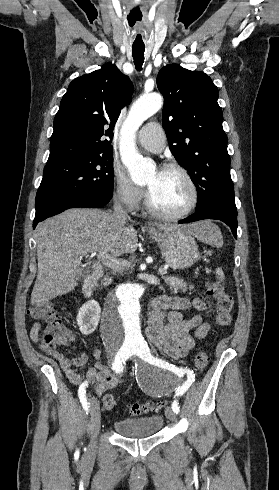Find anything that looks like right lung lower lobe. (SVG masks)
I'll return each instance as SVG.
<instances>
[{"mask_svg": "<svg viewBox=\"0 0 279 490\" xmlns=\"http://www.w3.org/2000/svg\"><path fill=\"white\" fill-rule=\"evenodd\" d=\"M110 199L99 198L90 194H56L43 198L36 206V214L33 222L35 229L38 222L48 217L59 214L69 208L88 207L102 208L109 203Z\"/></svg>", "mask_w": 279, "mask_h": 490, "instance_id": "98d812e1", "label": "right lung lower lobe"}]
</instances>
